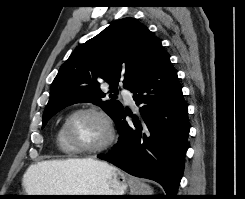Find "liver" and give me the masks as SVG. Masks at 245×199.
Here are the masks:
<instances>
[{
  "instance_id": "1",
  "label": "liver",
  "mask_w": 245,
  "mask_h": 199,
  "mask_svg": "<svg viewBox=\"0 0 245 199\" xmlns=\"http://www.w3.org/2000/svg\"><path fill=\"white\" fill-rule=\"evenodd\" d=\"M95 164L92 158L42 161L31 165L23 177L24 186L28 192L43 191L47 193L66 192L58 181L75 173L79 168Z\"/></svg>"
}]
</instances>
